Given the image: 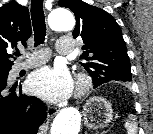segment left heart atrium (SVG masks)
<instances>
[{"label": "left heart atrium", "mask_w": 153, "mask_h": 134, "mask_svg": "<svg viewBox=\"0 0 153 134\" xmlns=\"http://www.w3.org/2000/svg\"><path fill=\"white\" fill-rule=\"evenodd\" d=\"M27 86L32 93L51 102L65 100L74 87L70 72L62 65L39 68L29 76Z\"/></svg>", "instance_id": "1"}]
</instances>
